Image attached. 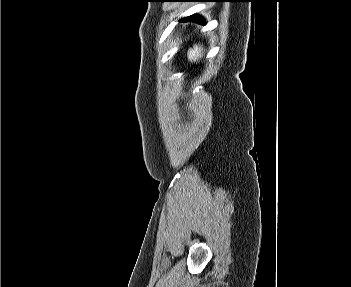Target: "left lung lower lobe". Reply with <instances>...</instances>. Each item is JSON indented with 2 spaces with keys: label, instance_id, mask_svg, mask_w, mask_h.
<instances>
[{
  "label": "left lung lower lobe",
  "instance_id": "obj_1",
  "mask_svg": "<svg viewBox=\"0 0 351 287\" xmlns=\"http://www.w3.org/2000/svg\"><path fill=\"white\" fill-rule=\"evenodd\" d=\"M175 1L176 2H192L194 0H175ZM180 21H184V22L192 21V22H197L200 24H205L204 19L198 15H192V16L186 17L184 19H181Z\"/></svg>",
  "mask_w": 351,
  "mask_h": 287
}]
</instances>
